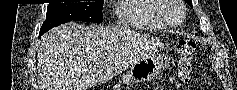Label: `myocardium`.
Returning <instances> with one entry per match:
<instances>
[{
    "mask_svg": "<svg viewBox=\"0 0 237 90\" xmlns=\"http://www.w3.org/2000/svg\"><path fill=\"white\" fill-rule=\"evenodd\" d=\"M163 3L167 2H179V0H161ZM179 5H183L181 2H179ZM178 19L176 22L171 23L170 21H174L175 18ZM159 21L169 29H178L182 26L184 20H185V12L184 11H162V13L158 14Z\"/></svg>",
    "mask_w": 237,
    "mask_h": 90,
    "instance_id": "1",
    "label": "myocardium"
}]
</instances>
